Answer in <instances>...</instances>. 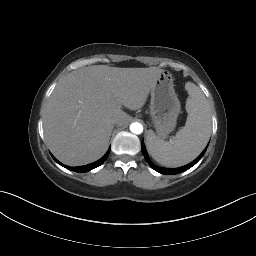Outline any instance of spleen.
Listing matches in <instances>:
<instances>
[{
    "instance_id": "1",
    "label": "spleen",
    "mask_w": 256,
    "mask_h": 256,
    "mask_svg": "<svg viewBox=\"0 0 256 256\" xmlns=\"http://www.w3.org/2000/svg\"><path fill=\"white\" fill-rule=\"evenodd\" d=\"M189 98L185 126L166 142L153 132L147 136V148L153 159L166 167H179L194 160L206 146L211 134V114L208 101L194 83L185 85Z\"/></svg>"
}]
</instances>
